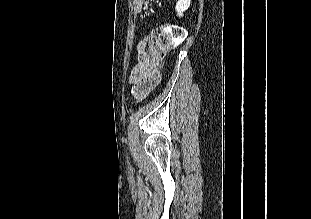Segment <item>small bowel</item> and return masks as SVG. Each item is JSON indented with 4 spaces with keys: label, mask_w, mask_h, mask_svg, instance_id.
Returning a JSON list of instances; mask_svg holds the SVG:
<instances>
[{
    "label": "small bowel",
    "mask_w": 311,
    "mask_h": 219,
    "mask_svg": "<svg viewBox=\"0 0 311 219\" xmlns=\"http://www.w3.org/2000/svg\"><path fill=\"white\" fill-rule=\"evenodd\" d=\"M159 80L157 75H150L146 71L139 72L137 67L134 68L130 77L133 95L137 99L146 97L157 87Z\"/></svg>",
    "instance_id": "small-bowel-1"
}]
</instances>
